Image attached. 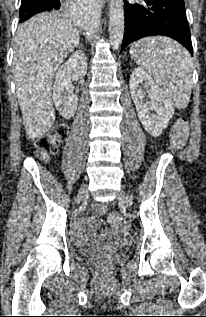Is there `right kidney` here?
<instances>
[{"label": "right kidney", "instance_id": "right-kidney-1", "mask_svg": "<svg viewBox=\"0 0 206 317\" xmlns=\"http://www.w3.org/2000/svg\"><path fill=\"white\" fill-rule=\"evenodd\" d=\"M72 73L79 77L87 73V61L82 51L74 52L55 75L53 101L56 109L65 119L74 116L78 104V96L70 88Z\"/></svg>", "mask_w": 206, "mask_h": 317}]
</instances>
